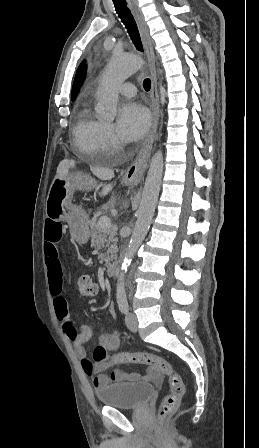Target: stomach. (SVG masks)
<instances>
[{
	"mask_svg": "<svg viewBox=\"0 0 259 448\" xmlns=\"http://www.w3.org/2000/svg\"><path fill=\"white\" fill-rule=\"evenodd\" d=\"M75 182L72 176H55L46 200V216L50 220L68 221L71 236L78 244L88 242L90 230L88 226L89 214L83 206H65L69 204L74 194Z\"/></svg>",
	"mask_w": 259,
	"mask_h": 448,
	"instance_id": "0dacf381",
	"label": "stomach"
}]
</instances>
